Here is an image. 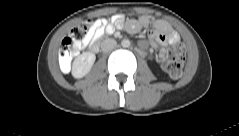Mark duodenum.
<instances>
[{
    "label": "duodenum",
    "instance_id": "duodenum-1",
    "mask_svg": "<svg viewBox=\"0 0 239 136\" xmlns=\"http://www.w3.org/2000/svg\"><path fill=\"white\" fill-rule=\"evenodd\" d=\"M99 50V44L98 43H94L91 47H90V51L93 53H96Z\"/></svg>",
    "mask_w": 239,
    "mask_h": 136
}]
</instances>
